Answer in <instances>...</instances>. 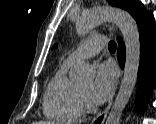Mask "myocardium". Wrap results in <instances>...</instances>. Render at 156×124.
<instances>
[{
	"label": "myocardium",
	"mask_w": 156,
	"mask_h": 124,
	"mask_svg": "<svg viewBox=\"0 0 156 124\" xmlns=\"http://www.w3.org/2000/svg\"><path fill=\"white\" fill-rule=\"evenodd\" d=\"M79 91H80V95H81V99H82L83 104H85L90 111H94L96 109V105L92 101V99L90 98V95L85 93L80 88H79Z\"/></svg>",
	"instance_id": "obj_1"
}]
</instances>
